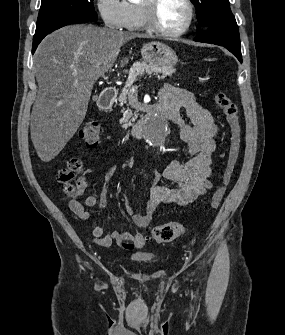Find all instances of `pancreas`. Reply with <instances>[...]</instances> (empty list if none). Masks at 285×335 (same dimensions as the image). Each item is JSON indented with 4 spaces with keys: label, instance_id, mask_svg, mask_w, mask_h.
Here are the masks:
<instances>
[{
    "label": "pancreas",
    "instance_id": "cf45deb5",
    "mask_svg": "<svg viewBox=\"0 0 285 335\" xmlns=\"http://www.w3.org/2000/svg\"><path fill=\"white\" fill-rule=\"evenodd\" d=\"M138 70V71H137ZM141 72H147V74H153V72H160L156 73L158 81H165V79L168 76H172L175 72V68H171V66H157V64H134L132 66L131 70L128 72L127 81L125 82V86L122 88V91L124 93H128L130 90H133L134 85L137 82H140V78L142 76ZM123 102H127V98L125 96ZM125 118H120L118 120V123L120 125H125L126 123L128 125H131L133 123V120L138 118L137 112H131V110H126L124 112ZM132 118V119H131Z\"/></svg>",
    "mask_w": 285,
    "mask_h": 335
}]
</instances>
